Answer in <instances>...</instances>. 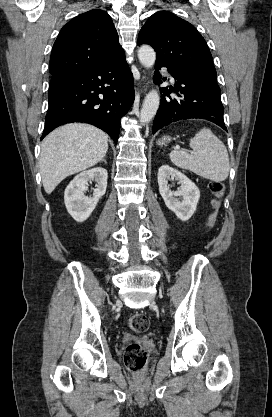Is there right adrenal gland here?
<instances>
[{
	"mask_svg": "<svg viewBox=\"0 0 272 417\" xmlns=\"http://www.w3.org/2000/svg\"><path fill=\"white\" fill-rule=\"evenodd\" d=\"M100 162H104L105 164H107V162H106V160H105V159H102Z\"/></svg>",
	"mask_w": 272,
	"mask_h": 417,
	"instance_id": "obj_1",
	"label": "right adrenal gland"
}]
</instances>
